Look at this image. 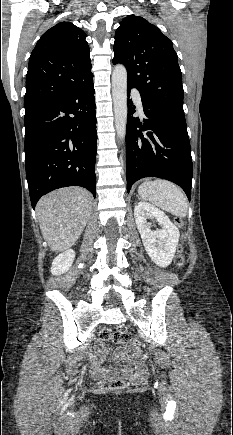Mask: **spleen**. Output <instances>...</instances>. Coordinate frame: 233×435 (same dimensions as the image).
Masks as SVG:
<instances>
[{"label":"spleen","instance_id":"3e777b00","mask_svg":"<svg viewBox=\"0 0 233 435\" xmlns=\"http://www.w3.org/2000/svg\"><path fill=\"white\" fill-rule=\"evenodd\" d=\"M140 197L179 217L188 212L187 198L182 190L170 181L156 179L143 182L138 189Z\"/></svg>","mask_w":233,"mask_h":435}]
</instances>
